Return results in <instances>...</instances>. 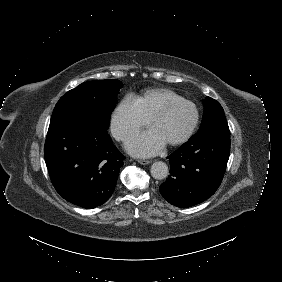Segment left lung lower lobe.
<instances>
[{"label":"left lung lower lobe","mask_w":282,"mask_h":282,"mask_svg":"<svg viewBox=\"0 0 282 282\" xmlns=\"http://www.w3.org/2000/svg\"><path fill=\"white\" fill-rule=\"evenodd\" d=\"M230 154L227 122L202 128L167 157L170 175L160 186L171 204L187 208L212 196L222 181Z\"/></svg>","instance_id":"obj_1"}]
</instances>
